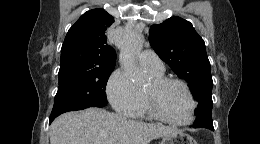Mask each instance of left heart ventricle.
<instances>
[{"label": "left heart ventricle", "mask_w": 260, "mask_h": 144, "mask_svg": "<svg viewBox=\"0 0 260 144\" xmlns=\"http://www.w3.org/2000/svg\"><path fill=\"white\" fill-rule=\"evenodd\" d=\"M157 103L162 113L169 119L182 122L190 117V100L179 85H169L164 88L158 96Z\"/></svg>", "instance_id": "left-heart-ventricle-1"}]
</instances>
